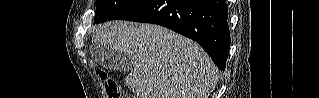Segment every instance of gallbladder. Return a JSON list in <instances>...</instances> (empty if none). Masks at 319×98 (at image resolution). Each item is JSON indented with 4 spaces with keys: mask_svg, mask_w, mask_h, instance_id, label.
Wrapping results in <instances>:
<instances>
[{
    "mask_svg": "<svg viewBox=\"0 0 319 98\" xmlns=\"http://www.w3.org/2000/svg\"><path fill=\"white\" fill-rule=\"evenodd\" d=\"M92 55L96 62L107 69L125 72L131 65L129 56L105 46H96L92 49Z\"/></svg>",
    "mask_w": 319,
    "mask_h": 98,
    "instance_id": "1",
    "label": "gallbladder"
}]
</instances>
